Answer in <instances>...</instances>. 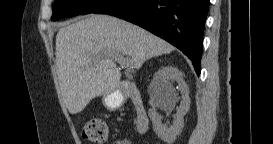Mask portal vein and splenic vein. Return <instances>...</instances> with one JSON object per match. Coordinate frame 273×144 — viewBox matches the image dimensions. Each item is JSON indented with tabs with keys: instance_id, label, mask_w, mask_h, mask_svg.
I'll use <instances>...</instances> for the list:
<instances>
[{
	"instance_id": "18ae733b",
	"label": "portal vein and splenic vein",
	"mask_w": 273,
	"mask_h": 144,
	"mask_svg": "<svg viewBox=\"0 0 273 144\" xmlns=\"http://www.w3.org/2000/svg\"><path fill=\"white\" fill-rule=\"evenodd\" d=\"M107 57L109 59L115 60L116 62H118L122 66H125L126 68L131 67V59L128 58V57L124 58L123 55L120 54V53L110 52V53L107 54Z\"/></svg>"
}]
</instances>
